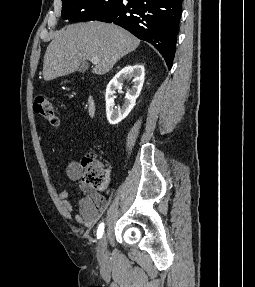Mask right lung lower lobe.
<instances>
[{
  "label": "right lung lower lobe",
  "mask_w": 255,
  "mask_h": 287,
  "mask_svg": "<svg viewBox=\"0 0 255 287\" xmlns=\"http://www.w3.org/2000/svg\"><path fill=\"white\" fill-rule=\"evenodd\" d=\"M181 10L182 0H123L97 20L117 24L151 43L170 69L175 56Z\"/></svg>",
  "instance_id": "1"
}]
</instances>
